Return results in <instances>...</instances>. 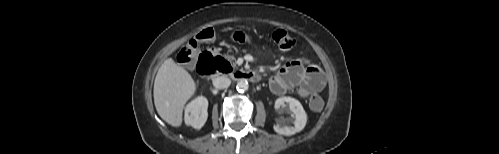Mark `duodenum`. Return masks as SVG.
<instances>
[{"instance_id":"1","label":"duodenum","mask_w":499,"mask_h":154,"mask_svg":"<svg viewBox=\"0 0 499 154\" xmlns=\"http://www.w3.org/2000/svg\"><path fill=\"white\" fill-rule=\"evenodd\" d=\"M209 59L210 60H213L212 59V55L209 54L208 55ZM199 73L203 76H207V77H211V76H215V72H214V69L212 67L211 64L205 62V63H200V66H199ZM228 76L234 80V81H250V82H253V83H257L259 81H261V75L258 73V72H255V71H251V70H230L227 72Z\"/></svg>"}]
</instances>
